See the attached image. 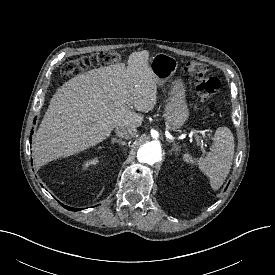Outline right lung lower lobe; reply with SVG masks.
Segmentation results:
<instances>
[{
    "mask_svg": "<svg viewBox=\"0 0 275 275\" xmlns=\"http://www.w3.org/2000/svg\"><path fill=\"white\" fill-rule=\"evenodd\" d=\"M32 133H33V131H32ZM64 208H66V209H68V210H70V211H78V210H80L79 208H72V207H68V206H66V205H63V204H61Z\"/></svg>",
    "mask_w": 275,
    "mask_h": 275,
    "instance_id": "right-lung-lower-lobe-1",
    "label": "right lung lower lobe"
}]
</instances>
